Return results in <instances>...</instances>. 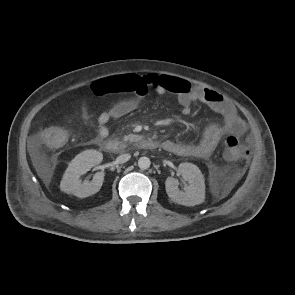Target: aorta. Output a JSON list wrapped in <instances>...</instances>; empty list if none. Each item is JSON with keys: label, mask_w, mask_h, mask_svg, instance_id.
<instances>
[{"label": "aorta", "mask_w": 295, "mask_h": 295, "mask_svg": "<svg viewBox=\"0 0 295 295\" xmlns=\"http://www.w3.org/2000/svg\"><path fill=\"white\" fill-rule=\"evenodd\" d=\"M151 161L148 157H140L138 160V166L140 169L145 170L150 167Z\"/></svg>", "instance_id": "obj_1"}]
</instances>
